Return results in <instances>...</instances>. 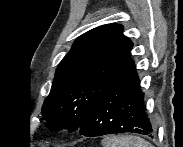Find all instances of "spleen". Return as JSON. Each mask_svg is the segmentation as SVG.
I'll list each match as a JSON object with an SVG mask.
<instances>
[{"label": "spleen", "instance_id": "1", "mask_svg": "<svg viewBox=\"0 0 183 147\" xmlns=\"http://www.w3.org/2000/svg\"><path fill=\"white\" fill-rule=\"evenodd\" d=\"M103 147H153L138 136H107L102 140Z\"/></svg>", "mask_w": 183, "mask_h": 147}]
</instances>
